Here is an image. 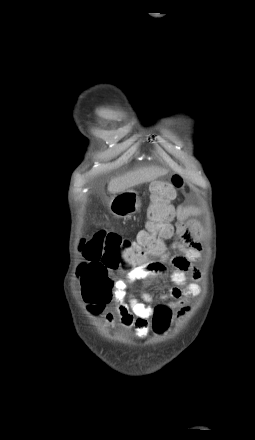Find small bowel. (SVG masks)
Wrapping results in <instances>:
<instances>
[{
  "label": "small bowel",
  "mask_w": 255,
  "mask_h": 440,
  "mask_svg": "<svg viewBox=\"0 0 255 440\" xmlns=\"http://www.w3.org/2000/svg\"><path fill=\"white\" fill-rule=\"evenodd\" d=\"M199 213L200 210L194 206L179 205L176 208L178 222L175 226V233L179 237V241L173 244L177 254L170 259V265L173 268L171 272L166 262L155 261L131 270L125 278L117 279L112 284V295L116 301L119 322L125 328H133L138 339H144L148 336L150 318L155 310L149 304L150 296L145 295L141 299H137L128 295V289L133 282L170 275L172 286L163 298L169 300L167 306L170 309H177V319H181L189 313V300L200 293L198 282L201 279V271L196 263L201 261L202 249L198 240L201 230L199 223L191 219ZM172 234L171 231L168 237ZM85 268V266L82 267L79 273L80 279ZM188 274L192 279L189 283H187ZM104 321L108 328L114 327L113 313L107 312Z\"/></svg>",
  "instance_id": "1"
}]
</instances>
